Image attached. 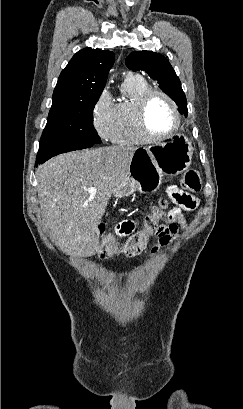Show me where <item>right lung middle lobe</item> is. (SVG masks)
Instances as JSON below:
<instances>
[{"mask_svg":"<svg viewBox=\"0 0 243 409\" xmlns=\"http://www.w3.org/2000/svg\"><path fill=\"white\" fill-rule=\"evenodd\" d=\"M96 102L52 103L40 145L100 143V137L93 126Z\"/></svg>","mask_w":243,"mask_h":409,"instance_id":"obj_1","label":"right lung middle lobe"}]
</instances>
